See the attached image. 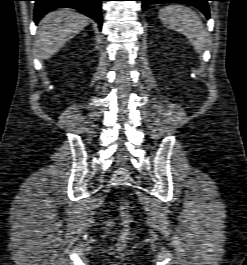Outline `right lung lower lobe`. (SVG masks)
I'll return each mask as SVG.
<instances>
[{"mask_svg":"<svg viewBox=\"0 0 247 265\" xmlns=\"http://www.w3.org/2000/svg\"><path fill=\"white\" fill-rule=\"evenodd\" d=\"M36 6L34 10V21L38 23L39 20L49 11L67 7L82 11L88 17L94 19L101 29V2L103 0H34Z\"/></svg>","mask_w":247,"mask_h":265,"instance_id":"1","label":"right lung lower lobe"}]
</instances>
